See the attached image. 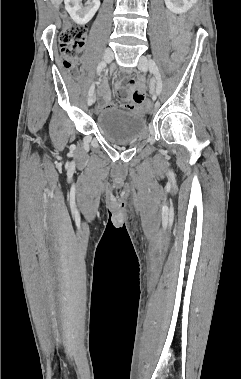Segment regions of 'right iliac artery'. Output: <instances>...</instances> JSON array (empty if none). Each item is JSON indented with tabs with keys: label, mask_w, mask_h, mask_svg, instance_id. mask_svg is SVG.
Listing matches in <instances>:
<instances>
[{
	"label": "right iliac artery",
	"mask_w": 241,
	"mask_h": 379,
	"mask_svg": "<svg viewBox=\"0 0 241 379\" xmlns=\"http://www.w3.org/2000/svg\"><path fill=\"white\" fill-rule=\"evenodd\" d=\"M106 64L105 62H100L98 67H97V74L101 73V71L105 68ZM95 85L92 84L90 89H89V95L91 96L94 93Z\"/></svg>",
	"instance_id": "82829eb1"
}]
</instances>
